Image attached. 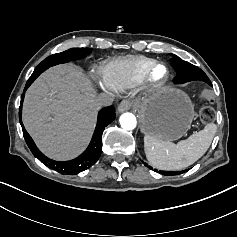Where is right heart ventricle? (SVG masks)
I'll return each instance as SVG.
<instances>
[{
    "label": "right heart ventricle",
    "mask_w": 237,
    "mask_h": 237,
    "mask_svg": "<svg viewBox=\"0 0 237 237\" xmlns=\"http://www.w3.org/2000/svg\"><path fill=\"white\" fill-rule=\"evenodd\" d=\"M153 60L143 56H131L107 61L102 66L105 78L118 90L137 85Z\"/></svg>",
    "instance_id": "obj_1"
}]
</instances>
